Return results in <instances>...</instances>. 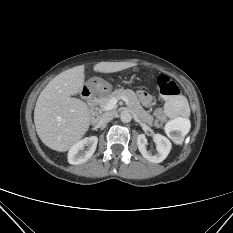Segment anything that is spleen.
<instances>
[{
    "label": "spleen",
    "mask_w": 233,
    "mask_h": 233,
    "mask_svg": "<svg viewBox=\"0 0 233 233\" xmlns=\"http://www.w3.org/2000/svg\"><path fill=\"white\" fill-rule=\"evenodd\" d=\"M175 121H183V119L178 117V118L175 119Z\"/></svg>",
    "instance_id": "spleen-1"
}]
</instances>
